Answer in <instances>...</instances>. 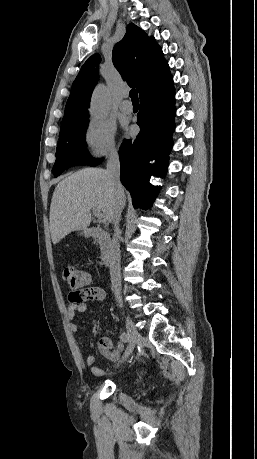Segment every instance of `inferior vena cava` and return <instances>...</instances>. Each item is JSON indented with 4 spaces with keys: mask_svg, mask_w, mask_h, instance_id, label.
<instances>
[{
    "mask_svg": "<svg viewBox=\"0 0 257 459\" xmlns=\"http://www.w3.org/2000/svg\"><path fill=\"white\" fill-rule=\"evenodd\" d=\"M107 175L109 183L115 195L112 222L114 224V235L110 245L108 263L110 268V278L112 291L117 302L121 303V280H120V228L119 221L121 212L125 205V196L120 182V161L116 151L112 152L107 161Z\"/></svg>",
    "mask_w": 257,
    "mask_h": 459,
    "instance_id": "obj_1",
    "label": "inferior vena cava"
}]
</instances>
